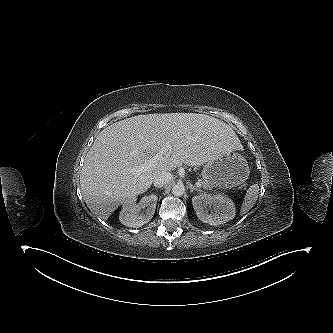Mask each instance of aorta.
I'll return each mask as SVG.
<instances>
[{
  "instance_id": "762f6f07",
  "label": "aorta",
  "mask_w": 333,
  "mask_h": 333,
  "mask_svg": "<svg viewBox=\"0 0 333 333\" xmlns=\"http://www.w3.org/2000/svg\"><path fill=\"white\" fill-rule=\"evenodd\" d=\"M172 193L175 196H182L185 193V186L183 183H176L172 187Z\"/></svg>"
}]
</instances>
